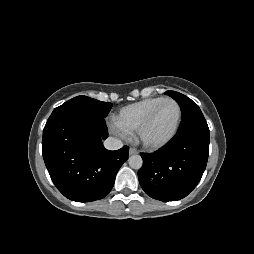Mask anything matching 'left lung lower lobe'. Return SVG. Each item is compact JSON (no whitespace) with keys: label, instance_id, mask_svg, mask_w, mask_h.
Wrapping results in <instances>:
<instances>
[{"label":"left lung lower lobe","instance_id":"0a47b994","mask_svg":"<svg viewBox=\"0 0 254 254\" xmlns=\"http://www.w3.org/2000/svg\"><path fill=\"white\" fill-rule=\"evenodd\" d=\"M209 154L208 126H194L177 134L160 150L141 153L138 171L142 189L160 201L186 197L199 183Z\"/></svg>","mask_w":254,"mask_h":254}]
</instances>
